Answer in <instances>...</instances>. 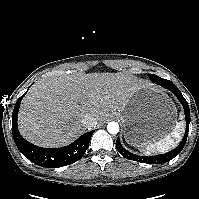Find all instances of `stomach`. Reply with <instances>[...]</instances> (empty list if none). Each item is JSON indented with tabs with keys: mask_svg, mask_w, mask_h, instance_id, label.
<instances>
[{
	"mask_svg": "<svg viewBox=\"0 0 199 199\" xmlns=\"http://www.w3.org/2000/svg\"><path fill=\"white\" fill-rule=\"evenodd\" d=\"M164 98V95H157L147 89L138 90L123 109L113 112L122 122L125 140L129 144H140L164 134L173 122L171 108Z\"/></svg>",
	"mask_w": 199,
	"mask_h": 199,
	"instance_id": "stomach-1",
	"label": "stomach"
}]
</instances>
